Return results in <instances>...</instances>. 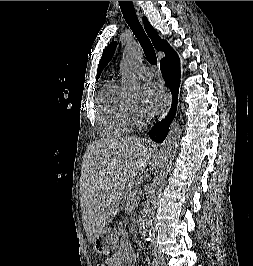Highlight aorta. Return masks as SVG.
<instances>
[{"mask_svg":"<svg viewBox=\"0 0 253 266\" xmlns=\"http://www.w3.org/2000/svg\"><path fill=\"white\" fill-rule=\"evenodd\" d=\"M142 49L139 45L126 46L121 64L122 85L126 97L136 98L141 93L140 83L132 76L133 67L141 60ZM181 136V129L178 122L174 121L169 129L161 153L156 162L154 179L148 190L147 201L142 209L140 227L142 237L145 241L152 239V222L155 209L166 183L167 176L172 167V162L177 151Z\"/></svg>","mask_w":253,"mask_h":266,"instance_id":"762f6f07","label":"aorta"}]
</instances>
